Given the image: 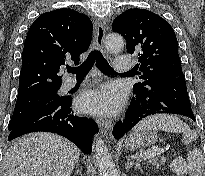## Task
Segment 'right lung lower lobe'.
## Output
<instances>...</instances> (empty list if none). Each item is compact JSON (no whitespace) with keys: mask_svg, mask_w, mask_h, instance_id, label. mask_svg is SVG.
I'll return each instance as SVG.
<instances>
[{"mask_svg":"<svg viewBox=\"0 0 205 176\" xmlns=\"http://www.w3.org/2000/svg\"><path fill=\"white\" fill-rule=\"evenodd\" d=\"M70 106V96L48 103L11 130L8 140L31 132H52L69 139L84 153H91L92 137L98 132V126L92 119L75 116Z\"/></svg>","mask_w":205,"mask_h":176,"instance_id":"1","label":"right lung lower lobe"}]
</instances>
